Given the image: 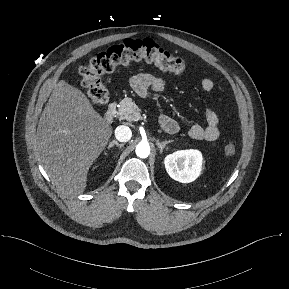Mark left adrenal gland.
<instances>
[{
	"instance_id": "left-adrenal-gland-1",
	"label": "left adrenal gland",
	"mask_w": 289,
	"mask_h": 289,
	"mask_svg": "<svg viewBox=\"0 0 289 289\" xmlns=\"http://www.w3.org/2000/svg\"><path fill=\"white\" fill-rule=\"evenodd\" d=\"M170 142H172V141H163V142H160L159 140H157V146H158V148H159V150H160V153H162L163 152V150H164V148H165V146L167 145V144H169Z\"/></svg>"
}]
</instances>
